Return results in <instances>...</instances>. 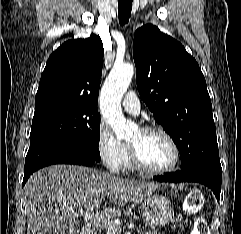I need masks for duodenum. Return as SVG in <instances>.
<instances>
[{"label":"duodenum","mask_w":241,"mask_h":234,"mask_svg":"<svg viewBox=\"0 0 241 234\" xmlns=\"http://www.w3.org/2000/svg\"><path fill=\"white\" fill-rule=\"evenodd\" d=\"M82 234H96V231H95V229H94L93 226L87 225V226L83 229Z\"/></svg>","instance_id":"duodenum-1"}]
</instances>
